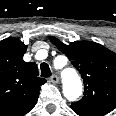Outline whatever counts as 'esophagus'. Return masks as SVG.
Returning a JSON list of instances; mask_svg holds the SVG:
<instances>
[{
  "label": "esophagus",
  "mask_w": 116,
  "mask_h": 116,
  "mask_svg": "<svg viewBox=\"0 0 116 116\" xmlns=\"http://www.w3.org/2000/svg\"><path fill=\"white\" fill-rule=\"evenodd\" d=\"M49 81L53 84H57L59 83V77L57 75H52L50 78H49Z\"/></svg>",
  "instance_id": "esophagus-1"
}]
</instances>
